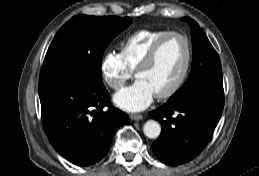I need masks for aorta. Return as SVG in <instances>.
<instances>
[{
	"mask_svg": "<svg viewBox=\"0 0 259 176\" xmlns=\"http://www.w3.org/2000/svg\"><path fill=\"white\" fill-rule=\"evenodd\" d=\"M143 132L148 138L155 139L161 133V126L157 121L149 120L144 124Z\"/></svg>",
	"mask_w": 259,
	"mask_h": 176,
	"instance_id": "762f6f07",
	"label": "aorta"
}]
</instances>
